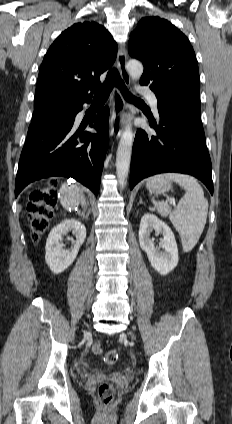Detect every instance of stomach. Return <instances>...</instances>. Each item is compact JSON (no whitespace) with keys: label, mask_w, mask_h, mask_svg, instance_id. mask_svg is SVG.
Returning <instances> with one entry per match:
<instances>
[{"label":"stomach","mask_w":232,"mask_h":424,"mask_svg":"<svg viewBox=\"0 0 232 424\" xmlns=\"http://www.w3.org/2000/svg\"><path fill=\"white\" fill-rule=\"evenodd\" d=\"M171 181L164 175L152 177L147 182V188L154 193H164L171 188Z\"/></svg>","instance_id":"stomach-1"}]
</instances>
